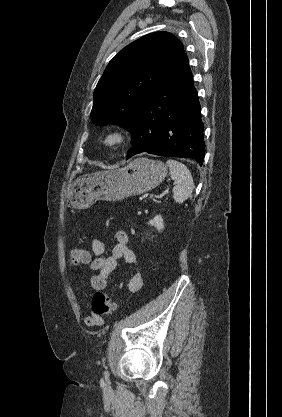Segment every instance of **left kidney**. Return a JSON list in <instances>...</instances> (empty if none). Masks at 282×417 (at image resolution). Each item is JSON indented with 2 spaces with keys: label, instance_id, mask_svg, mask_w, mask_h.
<instances>
[{
  "label": "left kidney",
  "instance_id": "left-kidney-1",
  "mask_svg": "<svg viewBox=\"0 0 282 417\" xmlns=\"http://www.w3.org/2000/svg\"><path fill=\"white\" fill-rule=\"evenodd\" d=\"M148 225H150V227H156L157 231H163L164 229V223L161 215H156L154 219L149 221Z\"/></svg>",
  "mask_w": 282,
  "mask_h": 417
}]
</instances>
